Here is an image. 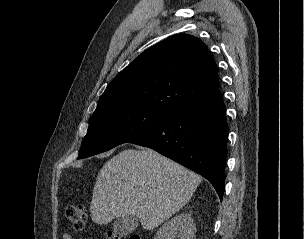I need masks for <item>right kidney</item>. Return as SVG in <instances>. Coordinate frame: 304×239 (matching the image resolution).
<instances>
[{"instance_id":"obj_1","label":"right kidney","mask_w":304,"mask_h":239,"mask_svg":"<svg viewBox=\"0 0 304 239\" xmlns=\"http://www.w3.org/2000/svg\"><path fill=\"white\" fill-rule=\"evenodd\" d=\"M196 227L190 213H182L166 222L154 239H195Z\"/></svg>"}]
</instances>
